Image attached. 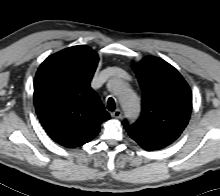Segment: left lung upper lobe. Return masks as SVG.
<instances>
[{"instance_id":"obj_1","label":"left lung upper lobe","mask_w":220,"mask_h":196,"mask_svg":"<svg viewBox=\"0 0 220 196\" xmlns=\"http://www.w3.org/2000/svg\"><path fill=\"white\" fill-rule=\"evenodd\" d=\"M142 89V112L128 133L151 150L173 143L186 127L192 109L191 90L180 73L158 57H145L133 66Z\"/></svg>"}]
</instances>
